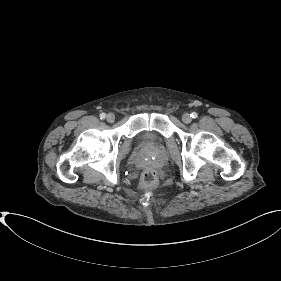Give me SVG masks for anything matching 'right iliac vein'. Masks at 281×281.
I'll use <instances>...</instances> for the list:
<instances>
[{
	"mask_svg": "<svg viewBox=\"0 0 281 281\" xmlns=\"http://www.w3.org/2000/svg\"><path fill=\"white\" fill-rule=\"evenodd\" d=\"M106 119L109 123H113L115 121V115L113 113H109Z\"/></svg>",
	"mask_w": 281,
	"mask_h": 281,
	"instance_id": "63e3f726",
	"label": "right iliac vein"
}]
</instances>
